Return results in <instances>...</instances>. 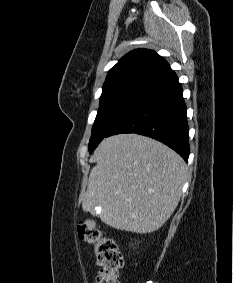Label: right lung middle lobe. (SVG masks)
<instances>
[{
    "label": "right lung middle lobe",
    "mask_w": 233,
    "mask_h": 283,
    "mask_svg": "<svg viewBox=\"0 0 233 283\" xmlns=\"http://www.w3.org/2000/svg\"><path fill=\"white\" fill-rule=\"evenodd\" d=\"M149 83L150 81L147 80H132L103 89L100 96L99 110L89 141L90 153L107 136L112 126L120 119Z\"/></svg>",
    "instance_id": "obj_1"
}]
</instances>
